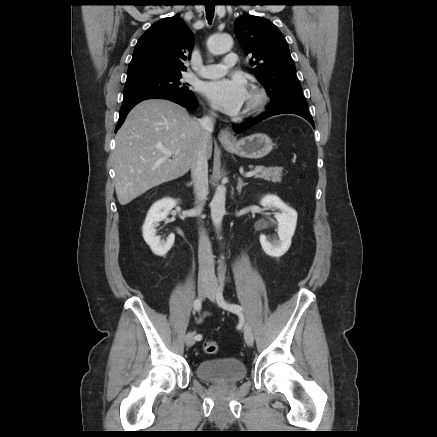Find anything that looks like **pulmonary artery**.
Returning a JSON list of instances; mask_svg holds the SVG:
<instances>
[{
    "instance_id": "e3ab8cb5",
    "label": "pulmonary artery",
    "mask_w": 437,
    "mask_h": 437,
    "mask_svg": "<svg viewBox=\"0 0 437 437\" xmlns=\"http://www.w3.org/2000/svg\"><path fill=\"white\" fill-rule=\"evenodd\" d=\"M237 63V55L228 53L223 62L220 64H208L201 67L199 75L203 78L214 79L219 78L227 73Z\"/></svg>"
}]
</instances>
